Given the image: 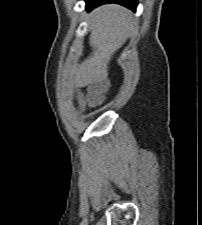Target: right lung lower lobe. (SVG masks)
Here are the masks:
<instances>
[{"instance_id":"98d812e1","label":"right lung lower lobe","mask_w":202,"mask_h":225,"mask_svg":"<svg viewBox=\"0 0 202 225\" xmlns=\"http://www.w3.org/2000/svg\"><path fill=\"white\" fill-rule=\"evenodd\" d=\"M85 1H86V9L89 11L101 4L106 3H117L135 11L138 4L137 0H85Z\"/></svg>"}]
</instances>
